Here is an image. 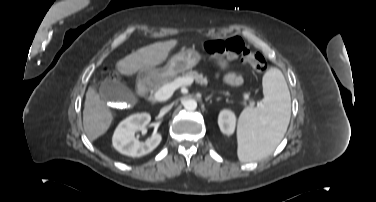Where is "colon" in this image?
Masks as SVG:
<instances>
[{"label":"colon","instance_id":"5ec220e1","mask_svg":"<svg viewBox=\"0 0 376 202\" xmlns=\"http://www.w3.org/2000/svg\"><path fill=\"white\" fill-rule=\"evenodd\" d=\"M202 51L206 56H226L231 59H240L249 64L257 73H265L268 70L265 57L260 53L253 52L238 37H233L225 41H206L202 44ZM106 73L112 76L115 75L110 70H106Z\"/></svg>","mask_w":376,"mask_h":202}]
</instances>
